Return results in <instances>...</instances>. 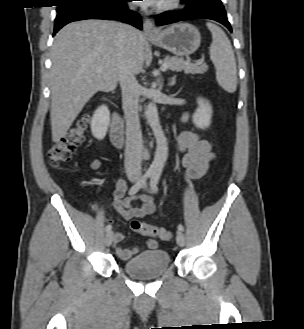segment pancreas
Here are the masks:
<instances>
[{"instance_id": "pancreas-1", "label": "pancreas", "mask_w": 304, "mask_h": 329, "mask_svg": "<svg viewBox=\"0 0 304 329\" xmlns=\"http://www.w3.org/2000/svg\"><path fill=\"white\" fill-rule=\"evenodd\" d=\"M164 63L168 64V69L172 71H184L186 74H204L208 70L206 64L200 62L192 63L190 59L177 57H165Z\"/></svg>"}]
</instances>
